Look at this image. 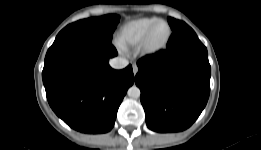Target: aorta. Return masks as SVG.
<instances>
[{
	"label": "aorta",
	"mask_w": 261,
	"mask_h": 150,
	"mask_svg": "<svg viewBox=\"0 0 261 150\" xmlns=\"http://www.w3.org/2000/svg\"><path fill=\"white\" fill-rule=\"evenodd\" d=\"M128 96L131 98H139L140 97V89L137 86H132L128 89Z\"/></svg>",
	"instance_id": "762f6f07"
}]
</instances>
